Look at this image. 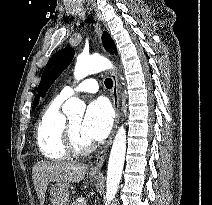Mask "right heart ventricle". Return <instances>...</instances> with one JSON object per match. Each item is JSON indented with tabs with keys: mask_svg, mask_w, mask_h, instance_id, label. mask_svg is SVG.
I'll return each mask as SVG.
<instances>
[{
	"mask_svg": "<svg viewBox=\"0 0 212 205\" xmlns=\"http://www.w3.org/2000/svg\"><path fill=\"white\" fill-rule=\"evenodd\" d=\"M63 99L55 97L42 111L36 127L37 146L44 157L64 160L70 156L64 145L66 117L61 111Z\"/></svg>",
	"mask_w": 212,
	"mask_h": 205,
	"instance_id": "obj_1",
	"label": "right heart ventricle"
}]
</instances>
